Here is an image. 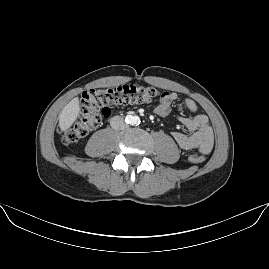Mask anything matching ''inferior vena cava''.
<instances>
[{
	"mask_svg": "<svg viewBox=\"0 0 269 269\" xmlns=\"http://www.w3.org/2000/svg\"><path fill=\"white\" fill-rule=\"evenodd\" d=\"M110 125L114 130H125L128 128V124L124 122L121 116H114L110 119Z\"/></svg>",
	"mask_w": 269,
	"mask_h": 269,
	"instance_id": "obj_1",
	"label": "inferior vena cava"
}]
</instances>
